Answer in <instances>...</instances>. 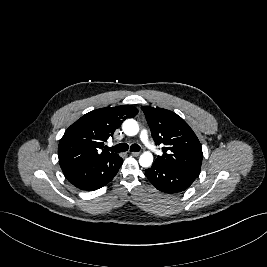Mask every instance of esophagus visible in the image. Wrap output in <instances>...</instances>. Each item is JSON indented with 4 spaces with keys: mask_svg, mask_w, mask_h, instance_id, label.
Returning <instances> with one entry per match:
<instances>
[{
    "mask_svg": "<svg viewBox=\"0 0 267 267\" xmlns=\"http://www.w3.org/2000/svg\"><path fill=\"white\" fill-rule=\"evenodd\" d=\"M131 155L134 156V157H137L140 155V152H131Z\"/></svg>",
    "mask_w": 267,
    "mask_h": 267,
    "instance_id": "obj_1",
    "label": "esophagus"
}]
</instances>
